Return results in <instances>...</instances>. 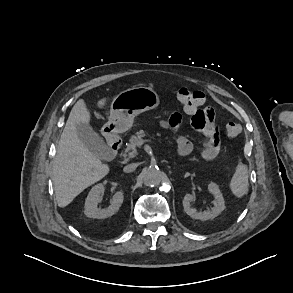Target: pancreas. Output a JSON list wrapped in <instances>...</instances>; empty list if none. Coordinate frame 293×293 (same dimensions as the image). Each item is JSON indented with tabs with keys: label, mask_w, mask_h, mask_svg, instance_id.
Returning a JSON list of instances; mask_svg holds the SVG:
<instances>
[{
	"label": "pancreas",
	"mask_w": 293,
	"mask_h": 293,
	"mask_svg": "<svg viewBox=\"0 0 293 293\" xmlns=\"http://www.w3.org/2000/svg\"><path fill=\"white\" fill-rule=\"evenodd\" d=\"M148 136V132L144 130H140L135 135H133L125 149V156H128L129 158L135 157L137 154L136 147L138 146V142L141 141L144 137Z\"/></svg>",
	"instance_id": "1"
}]
</instances>
